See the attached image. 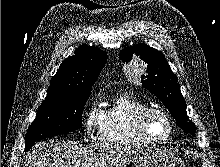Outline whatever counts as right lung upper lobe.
<instances>
[{
    "instance_id": "obj_1",
    "label": "right lung upper lobe",
    "mask_w": 220,
    "mask_h": 167,
    "mask_svg": "<svg viewBox=\"0 0 220 167\" xmlns=\"http://www.w3.org/2000/svg\"><path fill=\"white\" fill-rule=\"evenodd\" d=\"M107 54L95 47L80 46L75 55L65 59L51 79L46 99L64 94L90 91L103 66Z\"/></svg>"
}]
</instances>
